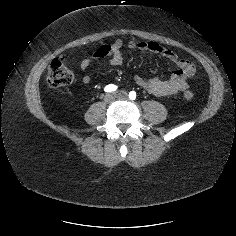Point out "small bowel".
Returning a JSON list of instances; mask_svg holds the SVG:
<instances>
[{
	"label": "small bowel",
	"mask_w": 236,
	"mask_h": 236,
	"mask_svg": "<svg viewBox=\"0 0 236 236\" xmlns=\"http://www.w3.org/2000/svg\"><path fill=\"white\" fill-rule=\"evenodd\" d=\"M128 47L159 54L176 66V70L167 79H159L156 77L145 78L136 75L134 81L138 86L156 96L173 95L189 89L187 79L190 78L195 71V67L190 60L152 41H130ZM122 48L123 42L118 39L112 44L99 46L94 51L92 57L84 58L80 63V69L83 73L82 83L84 85H90L92 83V77L86 72L96 60L108 57L109 59L105 63L106 66H122L124 62Z\"/></svg>",
	"instance_id": "small-bowel-1"
}]
</instances>
